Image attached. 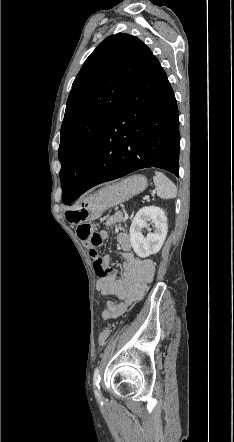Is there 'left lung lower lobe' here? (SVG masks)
Returning a JSON list of instances; mask_svg holds the SVG:
<instances>
[{
	"instance_id": "left-lung-lower-lobe-1",
	"label": "left lung lower lobe",
	"mask_w": 234,
	"mask_h": 442,
	"mask_svg": "<svg viewBox=\"0 0 234 442\" xmlns=\"http://www.w3.org/2000/svg\"><path fill=\"white\" fill-rule=\"evenodd\" d=\"M179 114L173 90L153 56L121 100L94 149L72 203L88 189L147 167L179 172Z\"/></svg>"
}]
</instances>
